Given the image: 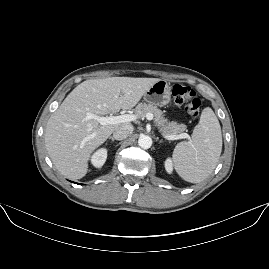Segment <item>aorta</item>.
I'll list each match as a JSON object with an SVG mask.
<instances>
[{
	"label": "aorta",
	"instance_id": "aorta-1",
	"mask_svg": "<svg viewBox=\"0 0 269 269\" xmlns=\"http://www.w3.org/2000/svg\"><path fill=\"white\" fill-rule=\"evenodd\" d=\"M138 145L143 149H149L152 145V139L146 135H142L138 139Z\"/></svg>",
	"mask_w": 269,
	"mask_h": 269
}]
</instances>
